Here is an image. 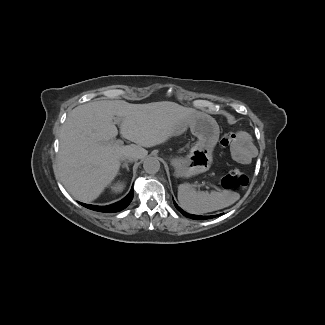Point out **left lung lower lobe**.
<instances>
[{"mask_svg":"<svg viewBox=\"0 0 325 325\" xmlns=\"http://www.w3.org/2000/svg\"><path fill=\"white\" fill-rule=\"evenodd\" d=\"M175 207L186 217L192 218V219H198V220H205L208 218H214L218 215H214V216H200V215H192V214H188L185 211H183L180 207H178V205L174 202Z\"/></svg>","mask_w":325,"mask_h":325,"instance_id":"left-lung-lower-lobe-1","label":"left lung lower lobe"}]
</instances>
